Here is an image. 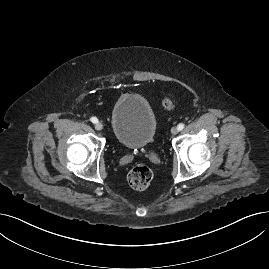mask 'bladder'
I'll return each instance as SVG.
<instances>
[{"label": "bladder", "instance_id": "1", "mask_svg": "<svg viewBox=\"0 0 269 269\" xmlns=\"http://www.w3.org/2000/svg\"><path fill=\"white\" fill-rule=\"evenodd\" d=\"M111 129L120 145L143 148L156 134V114L143 95L126 93L116 100L112 108Z\"/></svg>", "mask_w": 269, "mask_h": 269}]
</instances>
